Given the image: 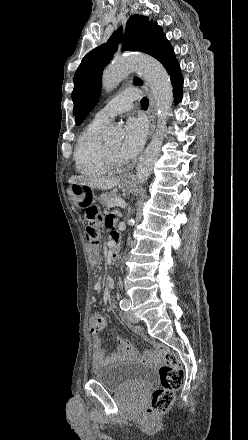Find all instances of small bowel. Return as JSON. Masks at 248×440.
<instances>
[{"label":"small bowel","mask_w":248,"mask_h":440,"mask_svg":"<svg viewBox=\"0 0 248 440\" xmlns=\"http://www.w3.org/2000/svg\"><path fill=\"white\" fill-rule=\"evenodd\" d=\"M111 222V221H109ZM109 288L112 287V283H108ZM107 321L105 317L100 313H95L89 321V332L92 336V367L95 371L100 370L104 366L113 364L125 359H136L139 358V354L136 349L125 339L117 336V352L110 355H105L101 347V332L105 329ZM134 332L140 334L143 332L141 327L129 326ZM152 357L151 353L146 355L147 359Z\"/></svg>","instance_id":"c3829d8e"}]
</instances>
